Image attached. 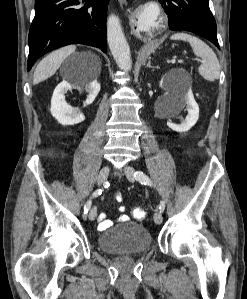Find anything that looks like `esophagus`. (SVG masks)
I'll return each mask as SVG.
<instances>
[{"instance_id":"esophagus-1","label":"esophagus","mask_w":247,"mask_h":299,"mask_svg":"<svg viewBox=\"0 0 247 299\" xmlns=\"http://www.w3.org/2000/svg\"><path fill=\"white\" fill-rule=\"evenodd\" d=\"M120 2H124L125 0H119Z\"/></svg>"}]
</instances>
